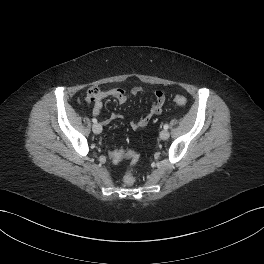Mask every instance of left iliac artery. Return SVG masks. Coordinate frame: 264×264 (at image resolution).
Listing matches in <instances>:
<instances>
[{
	"label": "left iliac artery",
	"mask_w": 264,
	"mask_h": 264,
	"mask_svg": "<svg viewBox=\"0 0 264 264\" xmlns=\"http://www.w3.org/2000/svg\"><path fill=\"white\" fill-rule=\"evenodd\" d=\"M169 128V125L168 124H165L164 125V129H168Z\"/></svg>",
	"instance_id": "1"
}]
</instances>
